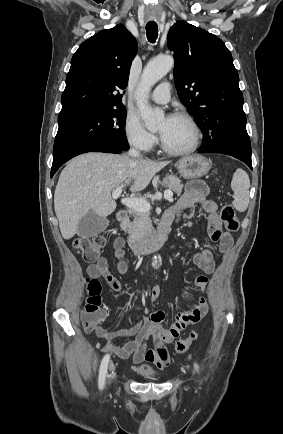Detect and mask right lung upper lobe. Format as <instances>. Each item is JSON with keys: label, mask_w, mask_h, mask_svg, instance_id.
<instances>
[{"label": "right lung upper lobe", "mask_w": 283, "mask_h": 434, "mask_svg": "<svg viewBox=\"0 0 283 434\" xmlns=\"http://www.w3.org/2000/svg\"><path fill=\"white\" fill-rule=\"evenodd\" d=\"M136 53L135 38L121 24L83 42L71 60L59 116L124 107L120 92Z\"/></svg>", "instance_id": "obj_1"}]
</instances>
